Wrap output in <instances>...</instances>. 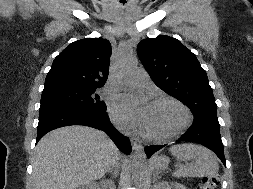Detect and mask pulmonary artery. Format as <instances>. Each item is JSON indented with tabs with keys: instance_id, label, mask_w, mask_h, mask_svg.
<instances>
[{
	"instance_id": "e3ab8cb5",
	"label": "pulmonary artery",
	"mask_w": 253,
	"mask_h": 189,
	"mask_svg": "<svg viewBox=\"0 0 253 189\" xmlns=\"http://www.w3.org/2000/svg\"><path fill=\"white\" fill-rule=\"evenodd\" d=\"M129 81L138 86H148L149 85V78L143 72H135L131 75Z\"/></svg>"
}]
</instances>
